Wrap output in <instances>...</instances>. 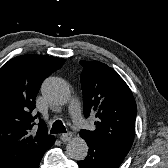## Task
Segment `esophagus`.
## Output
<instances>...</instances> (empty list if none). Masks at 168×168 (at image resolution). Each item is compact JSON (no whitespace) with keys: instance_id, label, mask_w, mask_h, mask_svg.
<instances>
[{"instance_id":"1","label":"esophagus","mask_w":168,"mask_h":168,"mask_svg":"<svg viewBox=\"0 0 168 168\" xmlns=\"http://www.w3.org/2000/svg\"><path fill=\"white\" fill-rule=\"evenodd\" d=\"M72 137H73V133L68 132V133L62 134L61 137H60V139H61L63 142H67V141H69Z\"/></svg>"}]
</instances>
